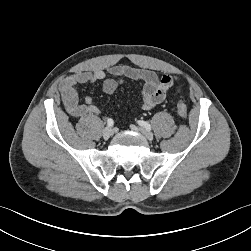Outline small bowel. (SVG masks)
Listing matches in <instances>:
<instances>
[{
  "mask_svg": "<svg viewBox=\"0 0 251 251\" xmlns=\"http://www.w3.org/2000/svg\"><path fill=\"white\" fill-rule=\"evenodd\" d=\"M124 78L142 82L140 89L142 108L146 111L161 103L175 82L173 76H158L152 70L139 69L126 64L113 65L106 71L101 69L80 71L67 76L60 83L62 100L67 112L73 117L99 115L100 109L91 97H86L84 103H79L77 86L101 81L103 91L106 94H113Z\"/></svg>",
  "mask_w": 251,
  "mask_h": 251,
  "instance_id": "1",
  "label": "small bowel"
}]
</instances>
